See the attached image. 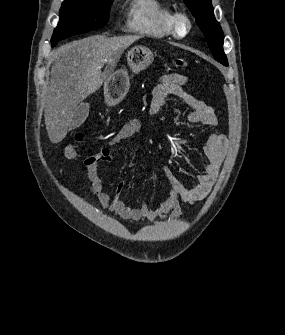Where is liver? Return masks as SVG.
I'll return each instance as SVG.
<instances>
[{
  "label": "liver",
  "instance_id": "1",
  "mask_svg": "<svg viewBox=\"0 0 285 335\" xmlns=\"http://www.w3.org/2000/svg\"><path fill=\"white\" fill-rule=\"evenodd\" d=\"M141 36H91L70 42L53 52L51 84L46 96L45 124L52 144L67 136L74 112L83 100L101 88V70L115 68L124 50Z\"/></svg>",
  "mask_w": 285,
  "mask_h": 335
}]
</instances>
